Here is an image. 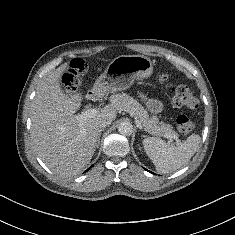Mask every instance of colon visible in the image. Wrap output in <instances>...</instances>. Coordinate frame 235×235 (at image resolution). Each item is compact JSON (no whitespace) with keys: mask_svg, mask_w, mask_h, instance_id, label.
<instances>
[{"mask_svg":"<svg viewBox=\"0 0 235 235\" xmlns=\"http://www.w3.org/2000/svg\"><path fill=\"white\" fill-rule=\"evenodd\" d=\"M86 70V63L82 59H75L71 62L69 72L64 75L63 82L65 89L72 92L77 87V77ZM159 79L162 83L170 87L172 92V105L175 108L195 109L198 100L194 96L192 89L187 85H170L168 77L160 74ZM176 125L182 134H190L195 129V122L187 115H179L176 118Z\"/></svg>","mask_w":235,"mask_h":235,"instance_id":"5ec220e1","label":"colon"}]
</instances>
